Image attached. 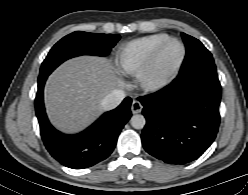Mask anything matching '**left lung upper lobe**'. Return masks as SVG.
<instances>
[{"mask_svg": "<svg viewBox=\"0 0 248 195\" xmlns=\"http://www.w3.org/2000/svg\"><path fill=\"white\" fill-rule=\"evenodd\" d=\"M186 46V56L179 76L184 79L202 74H217L212 54L196 38L182 33Z\"/></svg>", "mask_w": 248, "mask_h": 195, "instance_id": "left-lung-upper-lobe-1", "label": "left lung upper lobe"}]
</instances>
